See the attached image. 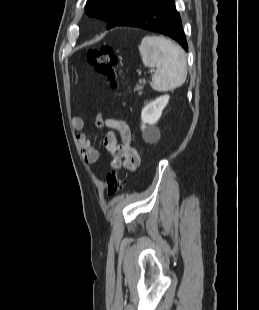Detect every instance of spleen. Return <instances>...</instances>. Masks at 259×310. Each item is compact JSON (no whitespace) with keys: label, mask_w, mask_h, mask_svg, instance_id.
Segmentation results:
<instances>
[{"label":"spleen","mask_w":259,"mask_h":310,"mask_svg":"<svg viewBox=\"0 0 259 310\" xmlns=\"http://www.w3.org/2000/svg\"><path fill=\"white\" fill-rule=\"evenodd\" d=\"M142 62L156 68L150 86L160 92L182 86L187 77V62L183 49L163 36H145L139 45Z\"/></svg>","instance_id":"1"}]
</instances>
